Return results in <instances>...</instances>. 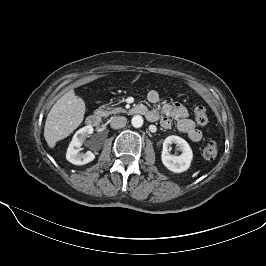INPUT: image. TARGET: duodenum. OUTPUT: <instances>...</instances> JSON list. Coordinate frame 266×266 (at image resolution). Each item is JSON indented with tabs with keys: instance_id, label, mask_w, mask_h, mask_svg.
I'll list each match as a JSON object with an SVG mask.
<instances>
[{
	"instance_id": "duodenum-1",
	"label": "duodenum",
	"mask_w": 266,
	"mask_h": 266,
	"mask_svg": "<svg viewBox=\"0 0 266 266\" xmlns=\"http://www.w3.org/2000/svg\"><path fill=\"white\" fill-rule=\"evenodd\" d=\"M130 112L132 114H140V115H145L146 114V108L143 106V105H137L135 107H133ZM101 123V118L99 115H96V114H92V115H89L87 118H86V124L88 126H91V127H98Z\"/></svg>"
}]
</instances>
